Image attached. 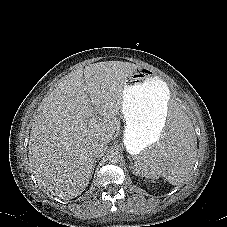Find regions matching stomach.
<instances>
[{
	"instance_id": "obj_1",
	"label": "stomach",
	"mask_w": 227,
	"mask_h": 227,
	"mask_svg": "<svg viewBox=\"0 0 227 227\" xmlns=\"http://www.w3.org/2000/svg\"><path fill=\"white\" fill-rule=\"evenodd\" d=\"M169 99L167 84L148 68L137 66L129 71L121 115L125 123L124 144L135 161L144 151L157 152L167 132Z\"/></svg>"
}]
</instances>
